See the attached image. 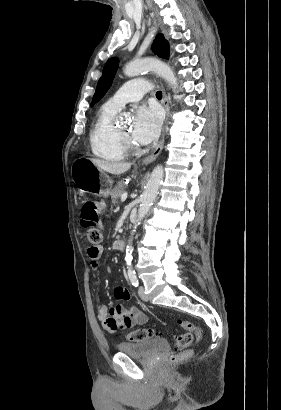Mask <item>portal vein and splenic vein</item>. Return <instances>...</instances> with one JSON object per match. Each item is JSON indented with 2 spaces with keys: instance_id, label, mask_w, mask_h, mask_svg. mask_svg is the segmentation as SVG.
<instances>
[{
  "instance_id": "1",
  "label": "portal vein and splenic vein",
  "mask_w": 281,
  "mask_h": 410,
  "mask_svg": "<svg viewBox=\"0 0 281 410\" xmlns=\"http://www.w3.org/2000/svg\"><path fill=\"white\" fill-rule=\"evenodd\" d=\"M127 196H128V193H127V192H124V193L121 195V201H122V202L125 201V200L127 199Z\"/></svg>"
}]
</instances>
